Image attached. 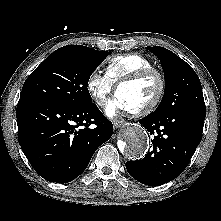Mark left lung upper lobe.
<instances>
[{
  "instance_id": "left-lung-upper-lobe-1",
  "label": "left lung upper lobe",
  "mask_w": 221,
  "mask_h": 221,
  "mask_svg": "<svg viewBox=\"0 0 221 221\" xmlns=\"http://www.w3.org/2000/svg\"><path fill=\"white\" fill-rule=\"evenodd\" d=\"M156 54L165 78L163 98L153 114L194 109L205 112L201 82L195 71L180 57L160 46L146 47Z\"/></svg>"
}]
</instances>
